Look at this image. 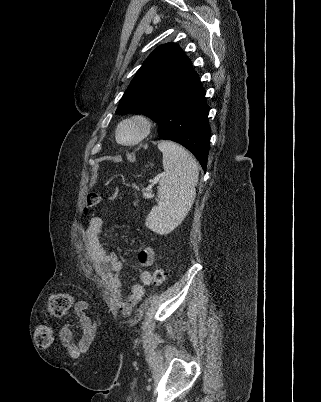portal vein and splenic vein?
Returning a JSON list of instances; mask_svg holds the SVG:
<instances>
[{
  "instance_id": "obj_1",
  "label": "portal vein and splenic vein",
  "mask_w": 321,
  "mask_h": 402,
  "mask_svg": "<svg viewBox=\"0 0 321 402\" xmlns=\"http://www.w3.org/2000/svg\"><path fill=\"white\" fill-rule=\"evenodd\" d=\"M160 176H161V175H158V176H157V179H158ZM151 189H152V185H149V186L146 188V191L143 193V196H144L145 198H149V197L152 196L151 193H149V191H151Z\"/></svg>"
}]
</instances>
